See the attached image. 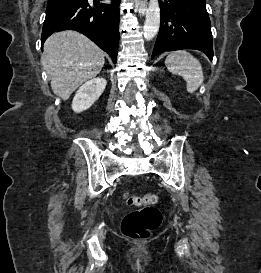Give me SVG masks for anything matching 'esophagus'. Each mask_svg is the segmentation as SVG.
Here are the masks:
<instances>
[{
    "label": "esophagus",
    "instance_id": "1",
    "mask_svg": "<svg viewBox=\"0 0 261 273\" xmlns=\"http://www.w3.org/2000/svg\"><path fill=\"white\" fill-rule=\"evenodd\" d=\"M148 0H136L137 9L140 15H144L147 10Z\"/></svg>",
    "mask_w": 261,
    "mask_h": 273
}]
</instances>
